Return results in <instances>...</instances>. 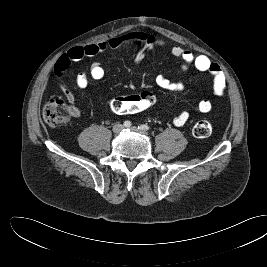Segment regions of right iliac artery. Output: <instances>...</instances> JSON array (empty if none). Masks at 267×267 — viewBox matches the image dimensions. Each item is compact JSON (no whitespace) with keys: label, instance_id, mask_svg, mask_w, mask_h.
Listing matches in <instances>:
<instances>
[{"label":"right iliac artery","instance_id":"right-iliac-artery-1","mask_svg":"<svg viewBox=\"0 0 267 267\" xmlns=\"http://www.w3.org/2000/svg\"><path fill=\"white\" fill-rule=\"evenodd\" d=\"M123 125L126 127V128H129L131 126V122L130 121H125L123 123Z\"/></svg>","mask_w":267,"mask_h":267}]
</instances>
